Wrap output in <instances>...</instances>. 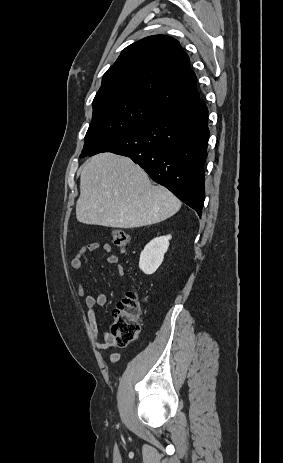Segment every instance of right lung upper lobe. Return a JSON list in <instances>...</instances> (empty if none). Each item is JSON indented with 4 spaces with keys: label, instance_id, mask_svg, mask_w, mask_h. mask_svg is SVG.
<instances>
[{
    "label": "right lung upper lobe",
    "instance_id": "right-lung-upper-lobe-1",
    "mask_svg": "<svg viewBox=\"0 0 283 463\" xmlns=\"http://www.w3.org/2000/svg\"><path fill=\"white\" fill-rule=\"evenodd\" d=\"M189 57L175 39L154 35L126 47L97 92H123L159 109L199 97Z\"/></svg>",
    "mask_w": 283,
    "mask_h": 463
}]
</instances>
